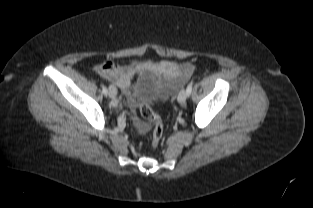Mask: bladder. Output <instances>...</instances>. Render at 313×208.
<instances>
[{"mask_svg": "<svg viewBox=\"0 0 313 208\" xmlns=\"http://www.w3.org/2000/svg\"><path fill=\"white\" fill-rule=\"evenodd\" d=\"M167 90L165 85L153 75H144L135 92L134 98L141 103L156 102L165 97Z\"/></svg>", "mask_w": 313, "mask_h": 208, "instance_id": "bladder-1", "label": "bladder"}]
</instances>
